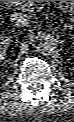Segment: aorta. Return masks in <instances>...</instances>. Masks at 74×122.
Instances as JSON below:
<instances>
[{
	"mask_svg": "<svg viewBox=\"0 0 74 122\" xmlns=\"http://www.w3.org/2000/svg\"><path fill=\"white\" fill-rule=\"evenodd\" d=\"M57 46L58 40L54 35L43 32L38 36L37 50L39 53L44 55L53 53Z\"/></svg>",
	"mask_w": 74,
	"mask_h": 122,
	"instance_id": "obj_1",
	"label": "aorta"
}]
</instances>
